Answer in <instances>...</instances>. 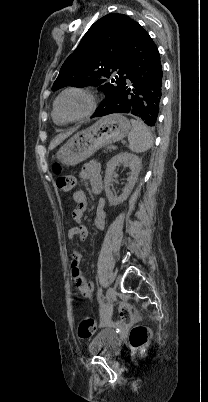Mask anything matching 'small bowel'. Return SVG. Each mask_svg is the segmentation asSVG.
<instances>
[{
	"label": "small bowel",
	"instance_id": "small-bowel-1",
	"mask_svg": "<svg viewBox=\"0 0 208 402\" xmlns=\"http://www.w3.org/2000/svg\"><path fill=\"white\" fill-rule=\"evenodd\" d=\"M78 177L82 181H88L93 192L99 193L102 190L101 166L97 161H91L85 164L80 170ZM73 200L76 203V208L72 212V217L75 221L80 222L83 214L87 209L86 193L82 189H77L73 193ZM94 225L97 229H103L106 225V209L104 200H99L96 206V216ZM88 231L83 225H77L68 231V240L74 241L76 238L81 240L86 239ZM72 260V277L78 286L79 291L87 296H91L94 292V284L87 281L80 270V254L77 249L71 250Z\"/></svg>",
	"mask_w": 208,
	"mask_h": 402
}]
</instances>
